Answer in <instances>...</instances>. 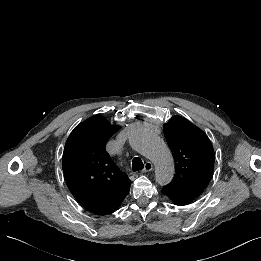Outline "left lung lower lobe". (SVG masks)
Returning a JSON list of instances; mask_svg holds the SVG:
<instances>
[{
    "label": "left lung lower lobe",
    "mask_w": 261,
    "mask_h": 261,
    "mask_svg": "<svg viewBox=\"0 0 261 261\" xmlns=\"http://www.w3.org/2000/svg\"><path fill=\"white\" fill-rule=\"evenodd\" d=\"M162 193L168 196L176 205H180V206L188 205L194 200L189 196L177 193L166 187H163Z\"/></svg>",
    "instance_id": "0a47b994"
}]
</instances>
